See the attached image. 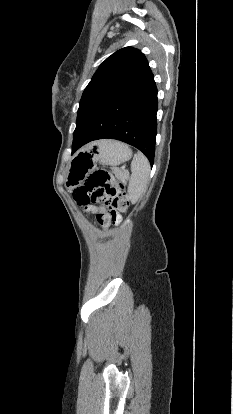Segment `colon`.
<instances>
[{
	"label": "colon",
	"instance_id": "colon-1",
	"mask_svg": "<svg viewBox=\"0 0 233 414\" xmlns=\"http://www.w3.org/2000/svg\"><path fill=\"white\" fill-rule=\"evenodd\" d=\"M79 205L97 204L100 212L97 219L101 225L114 223L129 207V199L122 182L115 181L104 169L95 170L82 187L74 191Z\"/></svg>",
	"mask_w": 233,
	"mask_h": 414
}]
</instances>
